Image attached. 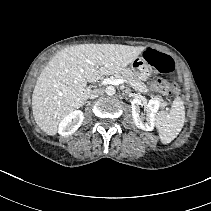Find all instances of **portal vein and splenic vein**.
Returning a JSON list of instances; mask_svg holds the SVG:
<instances>
[{"instance_id": "portal-vein-and-splenic-vein-1", "label": "portal vein and splenic vein", "mask_w": 211, "mask_h": 211, "mask_svg": "<svg viewBox=\"0 0 211 211\" xmlns=\"http://www.w3.org/2000/svg\"><path fill=\"white\" fill-rule=\"evenodd\" d=\"M122 83H124L123 79H109V78H107V79H104L101 84L102 85H107V84L118 85V84H122Z\"/></svg>"}]
</instances>
